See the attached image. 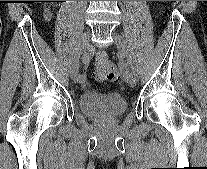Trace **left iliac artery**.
<instances>
[{"label":"left iliac artery","instance_id":"obj_1","mask_svg":"<svg viewBox=\"0 0 207 169\" xmlns=\"http://www.w3.org/2000/svg\"><path fill=\"white\" fill-rule=\"evenodd\" d=\"M121 62L122 63H119V72H127L128 74H134L138 76L135 64L129 63V65H127V61L124 60Z\"/></svg>","mask_w":207,"mask_h":169}]
</instances>
